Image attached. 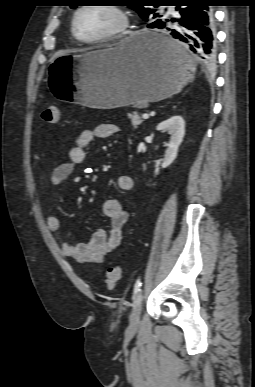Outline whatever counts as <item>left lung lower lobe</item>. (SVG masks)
<instances>
[{
	"mask_svg": "<svg viewBox=\"0 0 255 387\" xmlns=\"http://www.w3.org/2000/svg\"><path fill=\"white\" fill-rule=\"evenodd\" d=\"M212 0H174L169 3L175 6L177 18L162 16L147 25L148 28L163 29L169 37L148 30L145 43L162 53L167 59L182 62L184 56L178 49V42L186 43L190 50L205 64L211 65L216 57V38ZM171 22L178 28L170 27Z\"/></svg>",
	"mask_w": 255,
	"mask_h": 387,
	"instance_id": "0a47b994",
	"label": "left lung lower lobe"
}]
</instances>
